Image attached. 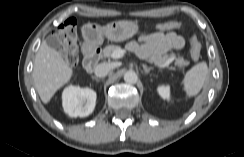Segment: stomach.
<instances>
[{"label":"stomach","mask_w":244,"mask_h":157,"mask_svg":"<svg viewBox=\"0 0 244 157\" xmlns=\"http://www.w3.org/2000/svg\"><path fill=\"white\" fill-rule=\"evenodd\" d=\"M139 31L137 22L129 20L113 21L105 26L88 23L82 27V36L87 47H96L103 43L104 37L110 41L121 42L132 38Z\"/></svg>","instance_id":"1"}]
</instances>
